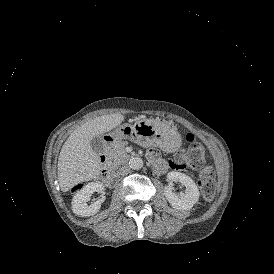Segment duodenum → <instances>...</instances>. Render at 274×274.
<instances>
[{
  "label": "duodenum",
  "instance_id": "duodenum-1",
  "mask_svg": "<svg viewBox=\"0 0 274 274\" xmlns=\"http://www.w3.org/2000/svg\"><path fill=\"white\" fill-rule=\"evenodd\" d=\"M116 141V138L113 136H108L105 138V145H110L112 143H114ZM100 159V163L103 167V172L105 174V177L107 179H112L115 177V171L112 168V166L110 165V163L107 160V157L104 153H102L99 157ZM154 168L158 171V172H163L166 169V166L163 162H155L154 163Z\"/></svg>",
  "mask_w": 274,
  "mask_h": 274
}]
</instances>
